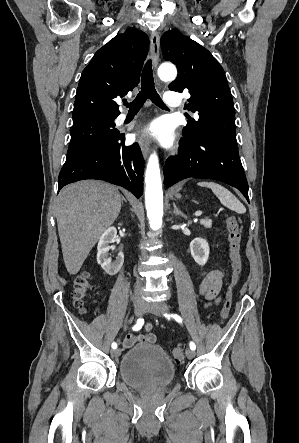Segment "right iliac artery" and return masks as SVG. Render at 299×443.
<instances>
[{
	"instance_id": "right-iliac-artery-1",
	"label": "right iliac artery",
	"mask_w": 299,
	"mask_h": 443,
	"mask_svg": "<svg viewBox=\"0 0 299 443\" xmlns=\"http://www.w3.org/2000/svg\"><path fill=\"white\" fill-rule=\"evenodd\" d=\"M143 324H144V319L143 318H139L137 320L136 324L133 326L132 329L134 331H138V330H140L142 328ZM111 347H112V349H116L117 348V344L115 342H113Z\"/></svg>"
}]
</instances>
